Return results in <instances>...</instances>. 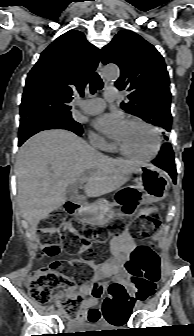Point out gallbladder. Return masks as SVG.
Returning a JSON list of instances; mask_svg holds the SVG:
<instances>
[{"mask_svg": "<svg viewBox=\"0 0 194 336\" xmlns=\"http://www.w3.org/2000/svg\"><path fill=\"white\" fill-rule=\"evenodd\" d=\"M68 192H69V196H70V198L77 199V196L74 194V190H73L72 187H70V189H69Z\"/></svg>", "mask_w": 194, "mask_h": 336, "instance_id": "obj_1", "label": "gallbladder"}]
</instances>
